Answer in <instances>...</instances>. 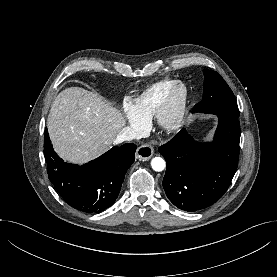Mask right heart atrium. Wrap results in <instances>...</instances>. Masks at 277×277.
<instances>
[{
  "instance_id": "right-heart-atrium-1",
  "label": "right heart atrium",
  "mask_w": 277,
  "mask_h": 277,
  "mask_svg": "<svg viewBox=\"0 0 277 277\" xmlns=\"http://www.w3.org/2000/svg\"><path fill=\"white\" fill-rule=\"evenodd\" d=\"M125 112L130 124V127L134 131H140L144 128L145 126V120L139 117L133 110L131 104L129 102H126L124 105Z\"/></svg>"
}]
</instances>
